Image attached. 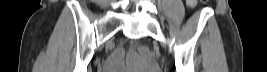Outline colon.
Returning a JSON list of instances; mask_svg holds the SVG:
<instances>
[{
  "label": "colon",
  "instance_id": "1",
  "mask_svg": "<svg viewBox=\"0 0 267 72\" xmlns=\"http://www.w3.org/2000/svg\"><path fill=\"white\" fill-rule=\"evenodd\" d=\"M202 2H206V0H202Z\"/></svg>",
  "mask_w": 267,
  "mask_h": 72
}]
</instances>
